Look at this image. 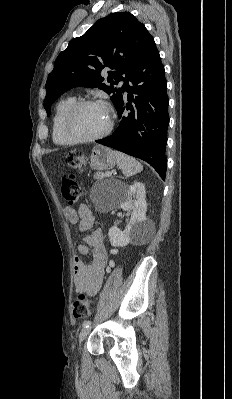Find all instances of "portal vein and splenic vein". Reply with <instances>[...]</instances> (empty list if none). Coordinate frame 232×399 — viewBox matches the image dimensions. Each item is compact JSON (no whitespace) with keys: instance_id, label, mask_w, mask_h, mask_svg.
<instances>
[{"instance_id":"portal-vein-and-splenic-vein-1","label":"portal vein and splenic vein","mask_w":232,"mask_h":399,"mask_svg":"<svg viewBox=\"0 0 232 399\" xmlns=\"http://www.w3.org/2000/svg\"><path fill=\"white\" fill-rule=\"evenodd\" d=\"M107 176H112V174H107Z\"/></svg>"}]
</instances>
